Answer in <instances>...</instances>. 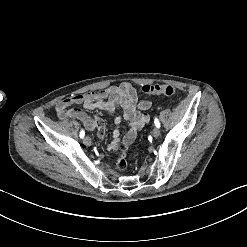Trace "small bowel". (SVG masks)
<instances>
[{
    "label": "small bowel",
    "instance_id": "1",
    "mask_svg": "<svg viewBox=\"0 0 247 247\" xmlns=\"http://www.w3.org/2000/svg\"><path fill=\"white\" fill-rule=\"evenodd\" d=\"M73 105H83L86 108H102L110 114L118 109L122 114L114 119L116 128L112 133V139L108 144V150H116L119 153L108 152L107 158L115 161L118 171L124 170V165L129 161L125 159V150L134 142L137 132L141 130L150 120L146 111L151 103L146 100H139L134 86L128 82L113 85L99 91H91L84 94L73 95L59 101L56 106V113L61 120L77 119L81 121L88 130L98 128L104 130V125L98 120L88 116L83 110L71 108ZM126 122L128 129L121 136L119 126ZM98 142H105V135L97 136Z\"/></svg>",
    "mask_w": 247,
    "mask_h": 247
}]
</instances>
